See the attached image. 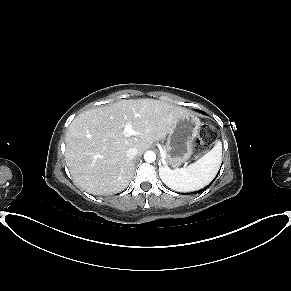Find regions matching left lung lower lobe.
<instances>
[{
  "instance_id": "left-lung-lower-lobe-1",
  "label": "left lung lower lobe",
  "mask_w": 291,
  "mask_h": 291,
  "mask_svg": "<svg viewBox=\"0 0 291 291\" xmlns=\"http://www.w3.org/2000/svg\"><path fill=\"white\" fill-rule=\"evenodd\" d=\"M201 113H202V114H205V113H204V112H202V111H201ZM209 186H210V184H209L207 187H209ZM207 187H206V188H207ZM203 190H204V189H202V190H199L198 192H201V191H203Z\"/></svg>"
}]
</instances>
